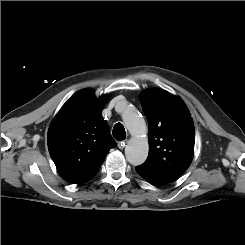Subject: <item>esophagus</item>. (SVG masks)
Returning a JSON list of instances; mask_svg holds the SVG:
<instances>
[{"label":"esophagus","instance_id":"esophagus-1","mask_svg":"<svg viewBox=\"0 0 245 245\" xmlns=\"http://www.w3.org/2000/svg\"><path fill=\"white\" fill-rule=\"evenodd\" d=\"M126 144H127V140L120 141L118 143V148L123 149L126 146Z\"/></svg>","mask_w":245,"mask_h":245}]
</instances>
